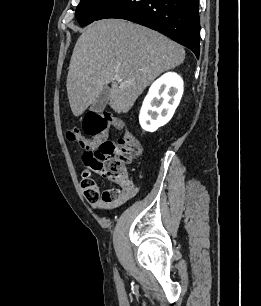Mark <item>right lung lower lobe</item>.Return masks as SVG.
Wrapping results in <instances>:
<instances>
[{
    "instance_id": "98d812e1",
    "label": "right lung lower lobe",
    "mask_w": 261,
    "mask_h": 306,
    "mask_svg": "<svg viewBox=\"0 0 261 306\" xmlns=\"http://www.w3.org/2000/svg\"><path fill=\"white\" fill-rule=\"evenodd\" d=\"M119 18L157 30L200 53L198 0H116L96 20Z\"/></svg>"
}]
</instances>
